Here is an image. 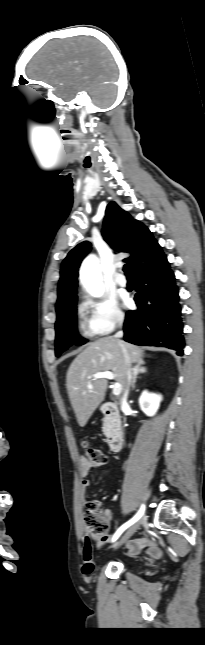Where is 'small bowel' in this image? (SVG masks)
Here are the masks:
<instances>
[{"label":"small bowel","mask_w":205,"mask_h":645,"mask_svg":"<svg viewBox=\"0 0 205 645\" xmlns=\"http://www.w3.org/2000/svg\"><path fill=\"white\" fill-rule=\"evenodd\" d=\"M92 469L93 467L89 464L87 459L85 457H82L80 460L79 474L81 477V485L83 488H87L90 486V480L88 476ZM104 517L108 525H112L113 519H112V513L110 510H105ZM144 547H148L147 554L149 557L157 558L161 554V550L155 540L149 539V538H137L130 541L128 544L129 555L130 556L137 555L140 549ZM83 562L85 566H89V567H93L95 564L92 547L87 539L85 540V544L83 548Z\"/></svg>","instance_id":"obj_1"}]
</instances>
